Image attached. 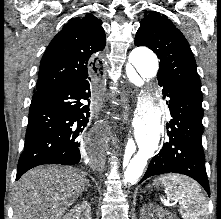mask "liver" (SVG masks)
Here are the masks:
<instances>
[{
    "instance_id": "obj_1",
    "label": "liver",
    "mask_w": 221,
    "mask_h": 219,
    "mask_svg": "<svg viewBox=\"0 0 221 219\" xmlns=\"http://www.w3.org/2000/svg\"><path fill=\"white\" fill-rule=\"evenodd\" d=\"M87 184L85 173L76 168H33L15 186L13 219H61Z\"/></svg>"
}]
</instances>
